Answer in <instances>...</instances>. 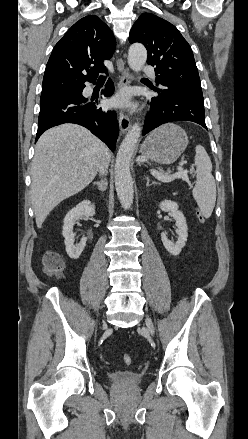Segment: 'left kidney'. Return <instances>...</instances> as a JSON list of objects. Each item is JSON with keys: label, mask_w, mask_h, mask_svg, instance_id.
<instances>
[{"label": "left kidney", "mask_w": 248, "mask_h": 439, "mask_svg": "<svg viewBox=\"0 0 248 439\" xmlns=\"http://www.w3.org/2000/svg\"><path fill=\"white\" fill-rule=\"evenodd\" d=\"M159 208L164 212H169V214L176 221V233L178 235L177 241L174 243L168 239L166 233H161V240L165 249L173 256L180 254L182 248L185 246L188 237V228L186 223V218L184 214L178 210L177 203L171 200H164L159 204Z\"/></svg>", "instance_id": "obj_1"}]
</instances>
